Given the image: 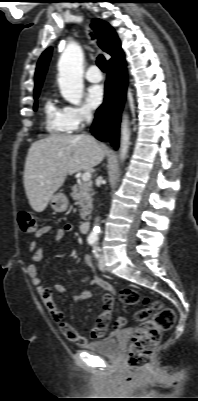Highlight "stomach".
<instances>
[{
    "label": "stomach",
    "instance_id": "0dacf381",
    "mask_svg": "<svg viewBox=\"0 0 198 401\" xmlns=\"http://www.w3.org/2000/svg\"><path fill=\"white\" fill-rule=\"evenodd\" d=\"M68 198L62 192L54 194L50 199V205L56 212H64L68 208Z\"/></svg>",
    "mask_w": 198,
    "mask_h": 401
}]
</instances>
